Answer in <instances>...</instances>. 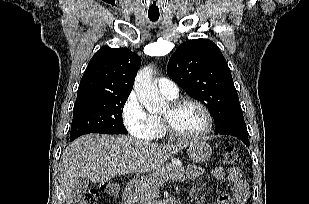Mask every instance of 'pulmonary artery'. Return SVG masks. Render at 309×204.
<instances>
[{
	"instance_id": "obj_1",
	"label": "pulmonary artery",
	"mask_w": 309,
	"mask_h": 204,
	"mask_svg": "<svg viewBox=\"0 0 309 204\" xmlns=\"http://www.w3.org/2000/svg\"><path fill=\"white\" fill-rule=\"evenodd\" d=\"M158 90L168 98H176L178 95L177 85L166 77H160L156 80Z\"/></svg>"
}]
</instances>
